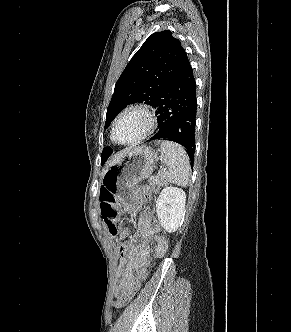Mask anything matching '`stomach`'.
Wrapping results in <instances>:
<instances>
[{
    "instance_id": "obj_1",
    "label": "stomach",
    "mask_w": 291,
    "mask_h": 332,
    "mask_svg": "<svg viewBox=\"0 0 291 332\" xmlns=\"http://www.w3.org/2000/svg\"><path fill=\"white\" fill-rule=\"evenodd\" d=\"M155 159L154 152L148 147L131 149L107 169L102 186L128 210H136L139 206L138 183L151 175Z\"/></svg>"
}]
</instances>
